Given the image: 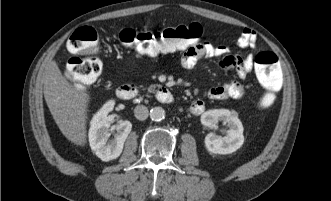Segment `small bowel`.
<instances>
[{
    "instance_id": "c3829d8e",
    "label": "small bowel",
    "mask_w": 331,
    "mask_h": 201,
    "mask_svg": "<svg viewBox=\"0 0 331 201\" xmlns=\"http://www.w3.org/2000/svg\"><path fill=\"white\" fill-rule=\"evenodd\" d=\"M236 45L240 48L255 49L257 45L256 32L248 28L244 29L236 40ZM230 52V48L225 45L197 44L183 53L180 64L183 68L190 69L203 59L220 58V65L223 69H235L238 77L245 79L254 64L253 54L250 53L242 58L231 55ZM244 94V87L236 80H229L205 92L207 98L214 100L240 99ZM204 110L205 102L202 99L194 100L188 107V112L192 115H200Z\"/></svg>"
}]
</instances>
